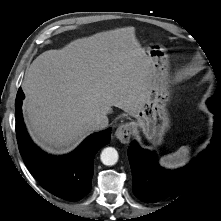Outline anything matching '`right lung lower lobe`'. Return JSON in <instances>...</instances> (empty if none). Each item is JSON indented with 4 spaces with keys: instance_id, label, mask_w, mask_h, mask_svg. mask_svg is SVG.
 Masks as SVG:
<instances>
[{
    "instance_id": "98d812e1",
    "label": "right lung lower lobe",
    "mask_w": 221,
    "mask_h": 221,
    "mask_svg": "<svg viewBox=\"0 0 221 221\" xmlns=\"http://www.w3.org/2000/svg\"><path fill=\"white\" fill-rule=\"evenodd\" d=\"M24 94L20 88L15 101L16 135L23 161L41 186L53 195L78 201L91 190L93 161L97 151L110 142L111 128L89 136L74 152L55 157L30 140L21 112Z\"/></svg>"
}]
</instances>
